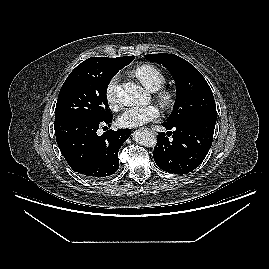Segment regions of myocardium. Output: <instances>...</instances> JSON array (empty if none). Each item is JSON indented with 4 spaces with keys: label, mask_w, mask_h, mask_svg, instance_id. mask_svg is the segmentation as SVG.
Wrapping results in <instances>:
<instances>
[{
    "label": "myocardium",
    "mask_w": 269,
    "mask_h": 269,
    "mask_svg": "<svg viewBox=\"0 0 269 269\" xmlns=\"http://www.w3.org/2000/svg\"><path fill=\"white\" fill-rule=\"evenodd\" d=\"M156 100L164 110L170 109L175 101L173 93L166 89L160 90L158 92Z\"/></svg>",
    "instance_id": "1"
}]
</instances>
